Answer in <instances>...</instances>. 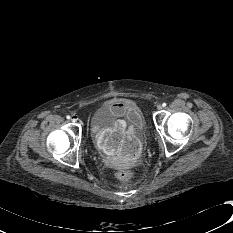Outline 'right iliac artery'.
I'll use <instances>...</instances> for the list:
<instances>
[{"mask_svg": "<svg viewBox=\"0 0 233 233\" xmlns=\"http://www.w3.org/2000/svg\"><path fill=\"white\" fill-rule=\"evenodd\" d=\"M66 118H67V119H70V116H69V115H67V116H66Z\"/></svg>", "mask_w": 233, "mask_h": 233, "instance_id": "obj_1", "label": "right iliac artery"}]
</instances>
